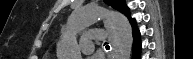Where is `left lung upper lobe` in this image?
Listing matches in <instances>:
<instances>
[{"instance_id":"obj_1","label":"left lung upper lobe","mask_w":193,"mask_h":59,"mask_svg":"<svg viewBox=\"0 0 193 59\" xmlns=\"http://www.w3.org/2000/svg\"><path fill=\"white\" fill-rule=\"evenodd\" d=\"M104 2L113 7L114 9L120 11L127 17L130 16L129 9L127 8L124 0H104Z\"/></svg>"}]
</instances>
